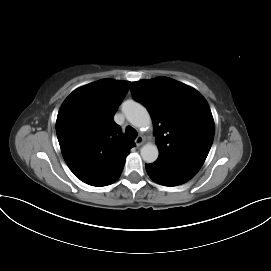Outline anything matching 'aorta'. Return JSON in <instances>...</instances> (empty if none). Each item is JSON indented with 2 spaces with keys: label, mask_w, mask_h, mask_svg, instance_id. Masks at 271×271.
<instances>
[{
  "label": "aorta",
  "mask_w": 271,
  "mask_h": 271,
  "mask_svg": "<svg viewBox=\"0 0 271 271\" xmlns=\"http://www.w3.org/2000/svg\"><path fill=\"white\" fill-rule=\"evenodd\" d=\"M126 119L135 127L142 128L151 124L147 109L135 101H126L122 106ZM159 155L156 145L147 143L141 148V157L146 163H153Z\"/></svg>",
  "instance_id": "1"
}]
</instances>
